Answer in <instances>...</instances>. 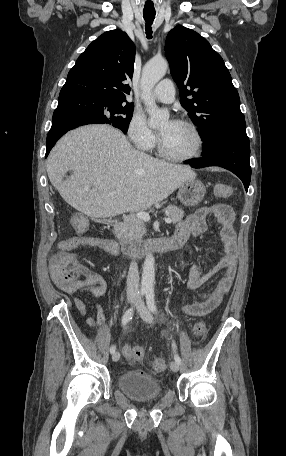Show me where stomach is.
<instances>
[{"mask_svg":"<svg viewBox=\"0 0 286 456\" xmlns=\"http://www.w3.org/2000/svg\"><path fill=\"white\" fill-rule=\"evenodd\" d=\"M206 194L204 184L199 180L188 181L183 184L178 191L179 201L187 206L192 207L198 205Z\"/></svg>","mask_w":286,"mask_h":456,"instance_id":"obj_1","label":"stomach"}]
</instances>
